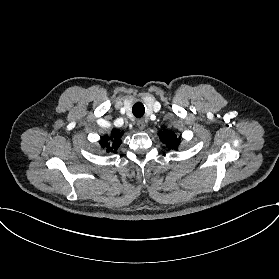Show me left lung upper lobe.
<instances>
[{
  "mask_svg": "<svg viewBox=\"0 0 279 279\" xmlns=\"http://www.w3.org/2000/svg\"><path fill=\"white\" fill-rule=\"evenodd\" d=\"M161 141L166 144L169 149L177 150L178 145L180 144V137L178 138L177 135L169 130H165L159 133Z\"/></svg>",
  "mask_w": 279,
  "mask_h": 279,
  "instance_id": "5c2ea615",
  "label": "left lung upper lobe"
}]
</instances>
